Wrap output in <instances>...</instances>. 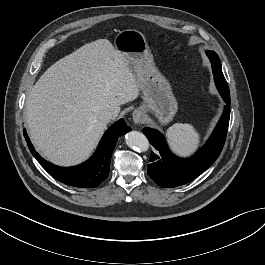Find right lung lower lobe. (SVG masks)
<instances>
[{"instance_id":"obj_1","label":"right lung lower lobe","mask_w":265,"mask_h":265,"mask_svg":"<svg viewBox=\"0 0 265 265\" xmlns=\"http://www.w3.org/2000/svg\"><path fill=\"white\" fill-rule=\"evenodd\" d=\"M131 128L123 119L113 124L104 134L96 152L85 163L74 167H59L44 160L33 148L25 130L28 147L42 167L56 180L73 187L93 188L100 185L109 174L110 160L118 138Z\"/></svg>"}]
</instances>
